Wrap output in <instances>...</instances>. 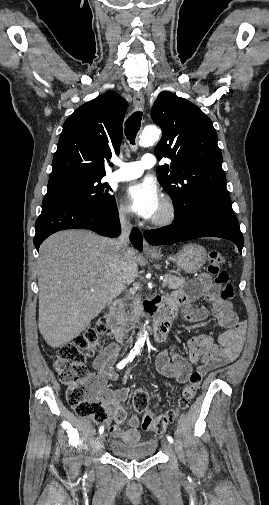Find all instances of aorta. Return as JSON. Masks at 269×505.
I'll use <instances>...</instances> for the list:
<instances>
[{"label": "aorta", "instance_id": "1", "mask_svg": "<svg viewBox=\"0 0 269 505\" xmlns=\"http://www.w3.org/2000/svg\"><path fill=\"white\" fill-rule=\"evenodd\" d=\"M160 134H161V131L156 126H147L144 128V130L142 131V133L140 135L139 144L141 146L151 145V144L155 143L156 141H158V139L160 138ZM146 334H147V331L144 328L143 332L142 333L140 332L137 342L135 343L134 349L136 351H140L141 348L144 346V343L146 340Z\"/></svg>", "mask_w": 269, "mask_h": 505}]
</instances>
